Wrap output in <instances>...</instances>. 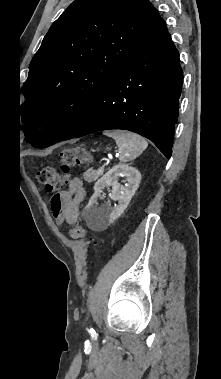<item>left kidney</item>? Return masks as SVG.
<instances>
[{"instance_id":"obj_1","label":"left kidney","mask_w":221,"mask_h":379,"mask_svg":"<svg viewBox=\"0 0 221 379\" xmlns=\"http://www.w3.org/2000/svg\"><path fill=\"white\" fill-rule=\"evenodd\" d=\"M120 176L126 177L127 184L125 187L118 182V177ZM140 181L141 174L134 167L118 164L110 169L95 183L94 194L83 211L88 227L91 229H104L119 218L138 189ZM105 186H112V192L109 197L118 201L114 208L110 204L102 207L95 206L97 198Z\"/></svg>"}]
</instances>
